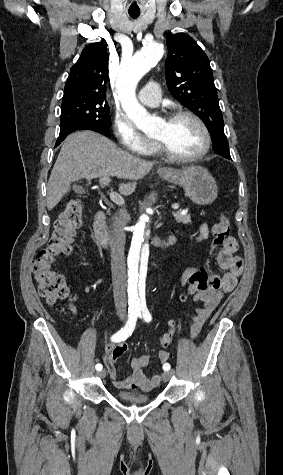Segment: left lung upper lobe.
<instances>
[{
    "mask_svg": "<svg viewBox=\"0 0 283 475\" xmlns=\"http://www.w3.org/2000/svg\"><path fill=\"white\" fill-rule=\"evenodd\" d=\"M165 77L172 96L206 124L211 136L224 135L222 112L209 59L184 33L168 35Z\"/></svg>",
    "mask_w": 283,
    "mask_h": 475,
    "instance_id": "obj_1",
    "label": "left lung upper lobe"
}]
</instances>
